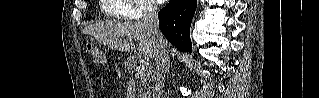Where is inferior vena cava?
<instances>
[{
    "instance_id": "obj_1",
    "label": "inferior vena cava",
    "mask_w": 319,
    "mask_h": 98,
    "mask_svg": "<svg viewBox=\"0 0 319 98\" xmlns=\"http://www.w3.org/2000/svg\"><path fill=\"white\" fill-rule=\"evenodd\" d=\"M142 23L146 26L148 32L153 36L156 42L154 55L156 68L152 75V80L155 83L153 98H162L165 76L168 70V53L166 40L159 30L157 7L150 0L145 4Z\"/></svg>"
}]
</instances>
